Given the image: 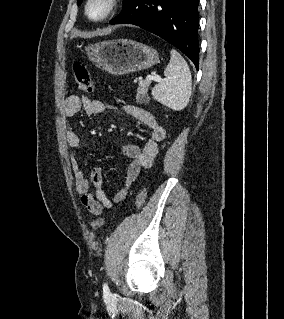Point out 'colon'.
Masks as SVG:
<instances>
[{
    "instance_id": "5ec220e1",
    "label": "colon",
    "mask_w": 284,
    "mask_h": 319,
    "mask_svg": "<svg viewBox=\"0 0 284 319\" xmlns=\"http://www.w3.org/2000/svg\"><path fill=\"white\" fill-rule=\"evenodd\" d=\"M73 71L75 76V84L77 88L83 92L92 94L95 92V82L91 77L86 66L81 62L73 64ZM105 222L104 218H98L91 223L93 230L99 229Z\"/></svg>"
}]
</instances>
